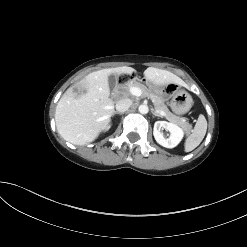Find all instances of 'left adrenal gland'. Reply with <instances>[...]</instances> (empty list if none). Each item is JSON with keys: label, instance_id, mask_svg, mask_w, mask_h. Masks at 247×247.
Masks as SVG:
<instances>
[{"label": "left adrenal gland", "instance_id": "a2214340", "mask_svg": "<svg viewBox=\"0 0 247 247\" xmlns=\"http://www.w3.org/2000/svg\"><path fill=\"white\" fill-rule=\"evenodd\" d=\"M152 114L154 116H157V117H161L162 118V116L159 113H157L155 110H153V109H152Z\"/></svg>", "mask_w": 247, "mask_h": 247}]
</instances>
